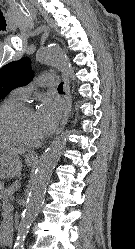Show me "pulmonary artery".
<instances>
[{
  "mask_svg": "<svg viewBox=\"0 0 135 249\" xmlns=\"http://www.w3.org/2000/svg\"><path fill=\"white\" fill-rule=\"evenodd\" d=\"M57 85H58V77L50 73L41 74L37 78L36 82V86L44 88H53ZM34 87H35L34 85L19 87L13 91V94L20 100H25L26 98L29 97Z\"/></svg>",
  "mask_w": 135,
  "mask_h": 249,
  "instance_id": "1",
  "label": "pulmonary artery"
}]
</instances>
